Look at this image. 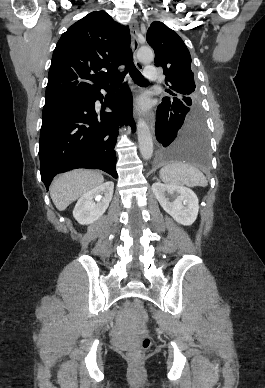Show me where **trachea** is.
<instances>
[{
    "mask_svg": "<svg viewBox=\"0 0 265 388\" xmlns=\"http://www.w3.org/2000/svg\"><path fill=\"white\" fill-rule=\"evenodd\" d=\"M127 72H130L132 79L135 83L138 84H147V80L143 78L139 70L134 66L133 60H132V53L129 54L128 63L126 66V70L116 77L112 78L110 81V86H117L120 85L123 82V79Z\"/></svg>",
    "mask_w": 265,
    "mask_h": 388,
    "instance_id": "obj_1",
    "label": "trachea"
}]
</instances>
